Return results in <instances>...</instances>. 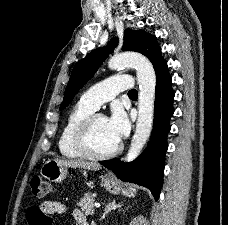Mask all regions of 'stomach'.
<instances>
[{"instance_id":"0dacf381","label":"stomach","mask_w":228,"mask_h":225,"mask_svg":"<svg viewBox=\"0 0 228 225\" xmlns=\"http://www.w3.org/2000/svg\"><path fill=\"white\" fill-rule=\"evenodd\" d=\"M41 175L47 181H51V183H62L68 175V165H63V163H59L56 159H48L41 169ZM102 187H105L106 191H109L112 195L122 193L125 197H133L135 193V189H121L116 179L111 177V175L103 177Z\"/></svg>"}]
</instances>
